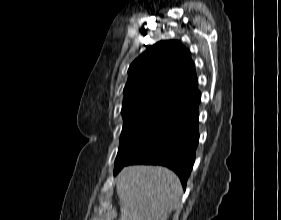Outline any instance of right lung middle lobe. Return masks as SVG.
<instances>
[{
	"instance_id": "obj_1",
	"label": "right lung middle lobe",
	"mask_w": 281,
	"mask_h": 220,
	"mask_svg": "<svg viewBox=\"0 0 281 220\" xmlns=\"http://www.w3.org/2000/svg\"><path fill=\"white\" fill-rule=\"evenodd\" d=\"M168 117L142 116L124 119L115 171L127 163L169 121ZM114 171V172H115Z\"/></svg>"
}]
</instances>
